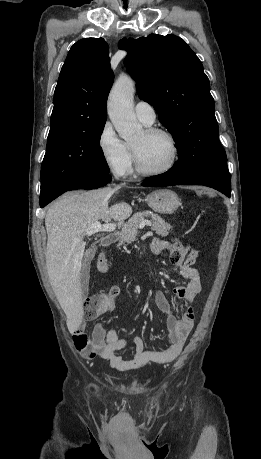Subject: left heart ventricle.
Instances as JSON below:
<instances>
[{
  "mask_svg": "<svg viewBox=\"0 0 261 459\" xmlns=\"http://www.w3.org/2000/svg\"><path fill=\"white\" fill-rule=\"evenodd\" d=\"M131 145L136 149L139 160L146 169L163 168L171 159V144L164 135H148L143 130Z\"/></svg>",
  "mask_w": 261,
  "mask_h": 459,
  "instance_id": "1",
  "label": "left heart ventricle"
}]
</instances>
